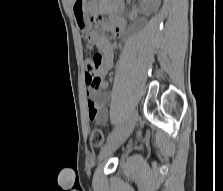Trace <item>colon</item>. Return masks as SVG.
I'll return each mask as SVG.
<instances>
[{
    "label": "colon",
    "mask_w": 223,
    "mask_h": 191,
    "mask_svg": "<svg viewBox=\"0 0 223 191\" xmlns=\"http://www.w3.org/2000/svg\"><path fill=\"white\" fill-rule=\"evenodd\" d=\"M100 56L94 55L84 62L86 82L90 86L97 87L101 83L99 74ZM105 141V134L100 129H93L90 135V143L95 148H101Z\"/></svg>",
    "instance_id": "colon-1"
}]
</instances>
